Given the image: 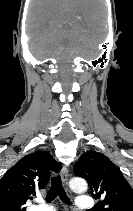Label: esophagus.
<instances>
[{
	"label": "esophagus",
	"instance_id": "esophagus-1",
	"mask_svg": "<svg viewBox=\"0 0 133 211\" xmlns=\"http://www.w3.org/2000/svg\"><path fill=\"white\" fill-rule=\"evenodd\" d=\"M61 178L64 183V185L67 187L68 186V179H69V173L68 169L66 166H63L61 169Z\"/></svg>",
	"mask_w": 133,
	"mask_h": 211
}]
</instances>
